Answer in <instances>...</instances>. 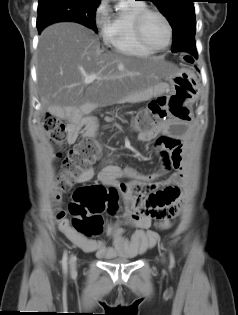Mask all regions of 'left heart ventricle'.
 Masks as SVG:
<instances>
[{
    "label": "left heart ventricle",
    "mask_w": 238,
    "mask_h": 315,
    "mask_svg": "<svg viewBox=\"0 0 238 315\" xmlns=\"http://www.w3.org/2000/svg\"><path fill=\"white\" fill-rule=\"evenodd\" d=\"M145 39L155 47H162L167 43L168 31L164 21L157 15H149L143 25Z\"/></svg>",
    "instance_id": "obj_1"
}]
</instances>
